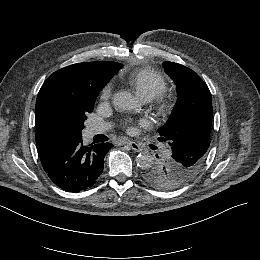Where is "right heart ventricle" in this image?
<instances>
[{
	"label": "right heart ventricle",
	"instance_id": "1",
	"mask_svg": "<svg viewBox=\"0 0 260 260\" xmlns=\"http://www.w3.org/2000/svg\"><path fill=\"white\" fill-rule=\"evenodd\" d=\"M128 84L145 101L154 99L167 89V81L163 76L146 69L132 72Z\"/></svg>",
	"mask_w": 260,
	"mask_h": 260
}]
</instances>
